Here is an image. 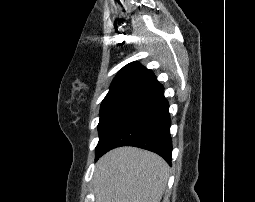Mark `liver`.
Returning a JSON list of instances; mask_svg holds the SVG:
<instances>
[{"label": "liver", "mask_w": 255, "mask_h": 202, "mask_svg": "<svg viewBox=\"0 0 255 202\" xmlns=\"http://www.w3.org/2000/svg\"><path fill=\"white\" fill-rule=\"evenodd\" d=\"M169 178L168 164L135 147L109 151L94 173L96 202H160Z\"/></svg>", "instance_id": "liver-1"}]
</instances>
